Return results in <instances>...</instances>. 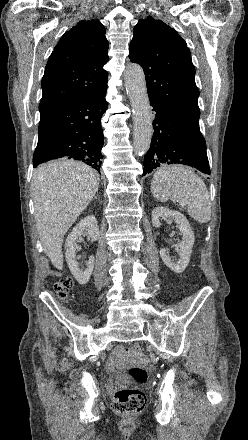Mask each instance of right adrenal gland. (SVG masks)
<instances>
[{
	"label": "right adrenal gland",
	"instance_id": "1",
	"mask_svg": "<svg viewBox=\"0 0 248 440\" xmlns=\"http://www.w3.org/2000/svg\"><path fill=\"white\" fill-rule=\"evenodd\" d=\"M94 199H97V196H94Z\"/></svg>",
	"mask_w": 248,
	"mask_h": 440
}]
</instances>
